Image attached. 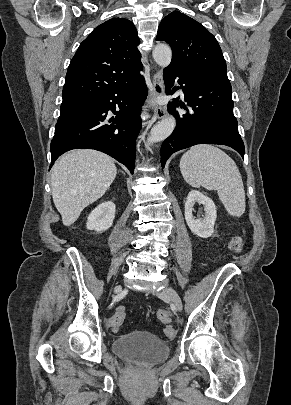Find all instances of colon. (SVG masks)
Returning <instances> with one entry per match:
<instances>
[{"label":"colon","mask_w":291,"mask_h":405,"mask_svg":"<svg viewBox=\"0 0 291 405\" xmlns=\"http://www.w3.org/2000/svg\"><path fill=\"white\" fill-rule=\"evenodd\" d=\"M230 248L233 252H240L243 248V241L240 238H234L230 243ZM125 316V307H118L114 314L108 319L109 328L113 331H118L124 322ZM157 316L163 323L166 324L163 329L165 336L168 339H174L177 335V331L175 327L170 324V315L168 311L160 309L157 312Z\"/></svg>","instance_id":"1"}]
</instances>
